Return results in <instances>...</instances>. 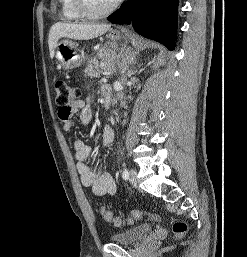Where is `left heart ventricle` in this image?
Listing matches in <instances>:
<instances>
[{
  "instance_id": "1",
  "label": "left heart ventricle",
  "mask_w": 247,
  "mask_h": 257,
  "mask_svg": "<svg viewBox=\"0 0 247 257\" xmlns=\"http://www.w3.org/2000/svg\"><path fill=\"white\" fill-rule=\"evenodd\" d=\"M87 1L89 3V6L93 10L100 11L107 8L115 0H87Z\"/></svg>"
}]
</instances>
